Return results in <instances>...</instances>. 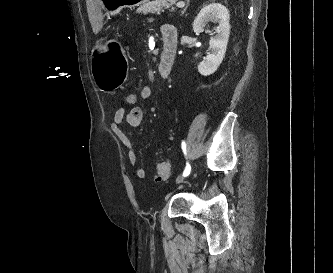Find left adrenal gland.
I'll use <instances>...</instances> for the list:
<instances>
[{
  "instance_id": "left-adrenal-gland-1",
  "label": "left adrenal gland",
  "mask_w": 333,
  "mask_h": 273,
  "mask_svg": "<svg viewBox=\"0 0 333 273\" xmlns=\"http://www.w3.org/2000/svg\"><path fill=\"white\" fill-rule=\"evenodd\" d=\"M188 5L186 6V8L182 11V14L183 15L185 12H186V9H187Z\"/></svg>"
}]
</instances>
